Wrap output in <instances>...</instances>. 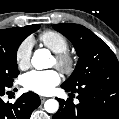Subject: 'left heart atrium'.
Segmentation results:
<instances>
[{"mask_svg": "<svg viewBox=\"0 0 119 119\" xmlns=\"http://www.w3.org/2000/svg\"><path fill=\"white\" fill-rule=\"evenodd\" d=\"M60 79L56 70H33L24 75L23 85L27 90L38 94H48L59 84Z\"/></svg>", "mask_w": 119, "mask_h": 119, "instance_id": "obj_1", "label": "left heart atrium"}]
</instances>
